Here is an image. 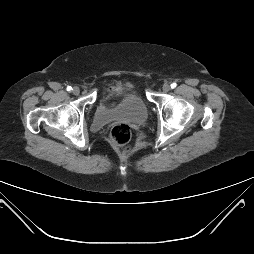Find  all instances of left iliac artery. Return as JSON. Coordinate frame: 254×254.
Returning <instances> with one entry per match:
<instances>
[{
  "label": "left iliac artery",
  "mask_w": 254,
  "mask_h": 254,
  "mask_svg": "<svg viewBox=\"0 0 254 254\" xmlns=\"http://www.w3.org/2000/svg\"><path fill=\"white\" fill-rule=\"evenodd\" d=\"M175 87H176V83L173 82V83L171 84V88H175Z\"/></svg>",
  "instance_id": "left-iliac-artery-1"
}]
</instances>
